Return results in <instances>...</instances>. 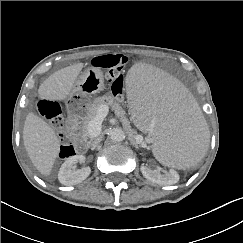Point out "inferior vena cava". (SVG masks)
I'll return each mask as SVG.
<instances>
[{"label": "inferior vena cava", "instance_id": "inferior-vena-cava-1", "mask_svg": "<svg viewBox=\"0 0 243 243\" xmlns=\"http://www.w3.org/2000/svg\"><path fill=\"white\" fill-rule=\"evenodd\" d=\"M100 143V138L96 137L91 143V147L95 148Z\"/></svg>", "mask_w": 243, "mask_h": 243}]
</instances>
